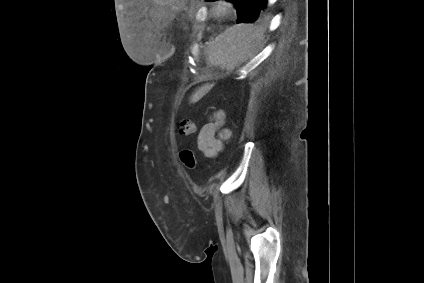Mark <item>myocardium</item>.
I'll return each mask as SVG.
<instances>
[{"label":"myocardium","mask_w":424,"mask_h":283,"mask_svg":"<svg viewBox=\"0 0 424 283\" xmlns=\"http://www.w3.org/2000/svg\"><path fill=\"white\" fill-rule=\"evenodd\" d=\"M213 10L218 16H227L232 12L233 4L229 0H217Z\"/></svg>","instance_id":"1"}]
</instances>
